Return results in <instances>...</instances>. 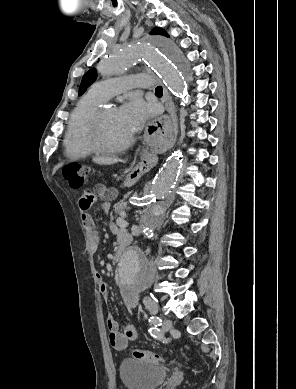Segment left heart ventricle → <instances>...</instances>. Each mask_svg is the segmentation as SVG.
Instances as JSON below:
<instances>
[{
    "mask_svg": "<svg viewBox=\"0 0 296 389\" xmlns=\"http://www.w3.org/2000/svg\"><path fill=\"white\" fill-rule=\"evenodd\" d=\"M103 138L106 144L110 146L122 144L131 138L120 120L118 110L115 108L105 109Z\"/></svg>",
    "mask_w": 296,
    "mask_h": 389,
    "instance_id": "obj_1",
    "label": "left heart ventricle"
}]
</instances>
